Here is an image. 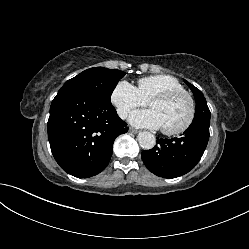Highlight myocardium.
<instances>
[{
	"label": "myocardium",
	"mask_w": 249,
	"mask_h": 249,
	"mask_svg": "<svg viewBox=\"0 0 249 249\" xmlns=\"http://www.w3.org/2000/svg\"><path fill=\"white\" fill-rule=\"evenodd\" d=\"M180 97H184L188 101V104H189L188 117H187L186 121L184 122V124L176 129L162 128V132L165 135H179V134H182L189 129V127L192 125V123L195 119V115H196L195 100L192 97V95L185 90H174V91H169V92H165L162 94H158V95L154 96L149 101V106H151V104L154 102H169V101H172V100L180 98Z\"/></svg>",
	"instance_id": "obj_1"
}]
</instances>
